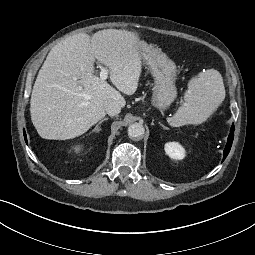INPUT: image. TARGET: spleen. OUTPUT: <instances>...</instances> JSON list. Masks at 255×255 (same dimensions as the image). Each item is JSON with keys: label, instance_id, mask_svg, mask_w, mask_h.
Returning a JSON list of instances; mask_svg holds the SVG:
<instances>
[{"label": "spleen", "instance_id": "obj_1", "mask_svg": "<svg viewBox=\"0 0 255 255\" xmlns=\"http://www.w3.org/2000/svg\"><path fill=\"white\" fill-rule=\"evenodd\" d=\"M224 98L225 87L221 74L215 69H209L189 81L184 105L179 107L173 117L168 118V122L173 127L201 124Z\"/></svg>", "mask_w": 255, "mask_h": 255}]
</instances>
